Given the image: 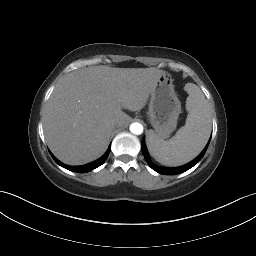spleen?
Returning <instances> with one entry per match:
<instances>
[{
	"label": "spleen",
	"mask_w": 256,
	"mask_h": 256,
	"mask_svg": "<svg viewBox=\"0 0 256 256\" xmlns=\"http://www.w3.org/2000/svg\"><path fill=\"white\" fill-rule=\"evenodd\" d=\"M185 89L189 94L185 126L169 141L159 139L153 131L147 139L151 155L166 166H179L195 158L206 145L211 132L210 107L204 94L193 83H187Z\"/></svg>",
	"instance_id": "obj_1"
}]
</instances>
